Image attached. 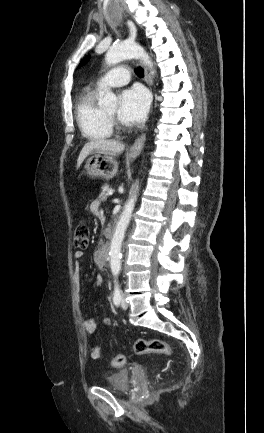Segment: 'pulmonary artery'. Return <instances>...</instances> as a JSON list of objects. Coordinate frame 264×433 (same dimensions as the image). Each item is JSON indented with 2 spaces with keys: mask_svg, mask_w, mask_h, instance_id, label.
Here are the masks:
<instances>
[{
  "mask_svg": "<svg viewBox=\"0 0 264 433\" xmlns=\"http://www.w3.org/2000/svg\"><path fill=\"white\" fill-rule=\"evenodd\" d=\"M130 81L128 69L126 67H116L110 73L101 77L97 81V88L105 87H120L126 85Z\"/></svg>",
  "mask_w": 264,
  "mask_h": 433,
  "instance_id": "e3ab8cb5",
  "label": "pulmonary artery"
}]
</instances>
